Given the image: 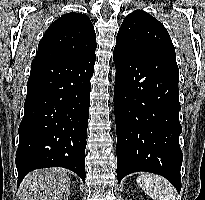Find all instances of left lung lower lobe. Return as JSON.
Masks as SVG:
<instances>
[{
    "label": "left lung lower lobe",
    "mask_w": 205,
    "mask_h": 200,
    "mask_svg": "<svg viewBox=\"0 0 205 200\" xmlns=\"http://www.w3.org/2000/svg\"><path fill=\"white\" fill-rule=\"evenodd\" d=\"M117 178L146 171L168 179L179 192V70L175 52L128 54L114 48Z\"/></svg>",
    "instance_id": "1"
}]
</instances>
